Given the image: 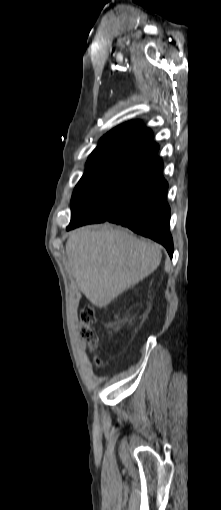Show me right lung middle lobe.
I'll return each instance as SVG.
<instances>
[{
	"label": "right lung middle lobe",
	"mask_w": 221,
	"mask_h": 510,
	"mask_svg": "<svg viewBox=\"0 0 221 510\" xmlns=\"http://www.w3.org/2000/svg\"><path fill=\"white\" fill-rule=\"evenodd\" d=\"M153 155L143 151H123L89 157L86 170L74 189L71 210L86 204L94 216L116 211L136 176Z\"/></svg>",
	"instance_id": "dd1d6c3e"
}]
</instances>
